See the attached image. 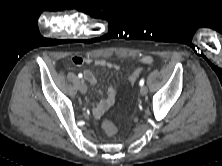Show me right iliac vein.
<instances>
[{
    "label": "right iliac vein",
    "mask_w": 222,
    "mask_h": 166,
    "mask_svg": "<svg viewBox=\"0 0 222 166\" xmlns=\"http://www.w3.org/2000/svg\"><path fill=\"white\" fill-rule=\"evenodd\" d=\"M79 90L82 94H85L87 92V86L85 83H81Z\"/></svg>",
    "instance_id": "1"
}]
</instances>
